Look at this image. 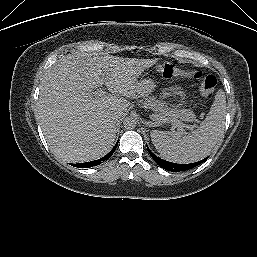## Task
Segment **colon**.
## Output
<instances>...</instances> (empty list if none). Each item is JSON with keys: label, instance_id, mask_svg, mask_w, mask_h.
Wrapping results in <instances>:
<instances>
[{"label": "colon", "instance_id": "5ec220e1", "mask_svg": "<svg viewBox=\"0 0 257 257\" xmlns=\"http://www.w3.org/2000/svg\"><path fill=\"white\" fill-rule=\"evenodd\" d=\"M157 73H159L165 79H171L174 77H189L193 80L201 79V74L194 71H184L172 64L162 63L155 67ZM217 80L213 75H207L200 81L199 91L202 98L207 102L209 101L215 91Z\"/></svg>", "mask_w": 257, "mask_h": 257}]
</instances>
